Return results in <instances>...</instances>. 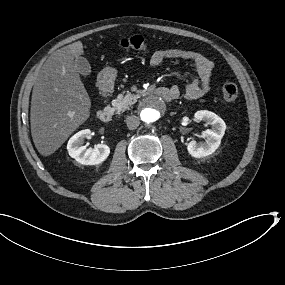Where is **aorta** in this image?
Masks as SVG:
<instances>
[{"label":"aorta","instance_id":"aorta-1","mask_svg":"<svg viewBox=\"0 0 285 285\" xmlns=\"http://www.w3.org/2000/svg\"><path fill=\"white\" fill-rule=\"evenodd\" d=\"M138 114L144 123L149 125H156L165 119L167 114V107L161 98L156 96H149L140 102L138 107Z\"/></svg>","mask_w":285,"mask_h":285}]
</instances>
